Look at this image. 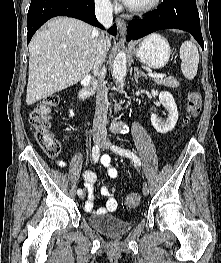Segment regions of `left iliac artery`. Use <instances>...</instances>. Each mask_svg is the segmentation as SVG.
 Here are the masks:
<instances>
[{
  "label": "left iliac artery",
  "mask_w": 221,
  "mask_h": 263,
  "mask_svg": "<svg viewBox=\"0 0 221 263\" xmlns=\"http://www.w3.org/2000/svg\"><path fill=\"white\" fill-rule=\"evenodd\" d=\"M112 150L115 151L116 153L120 154V155H123V156L130 158L135 164H137L139 166L141 165L140 159L130 150L123 149V148H120L117 146H112Z\"/></svg>",
  "instance_id": "1"
}]
</instances>
